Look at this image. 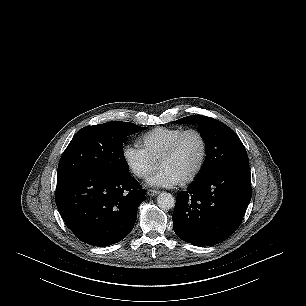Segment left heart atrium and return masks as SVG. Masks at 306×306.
<instances>
[{"mask_svg": "<svg viewBox=\"0 0 306 306\" xmlns=\"http://www.w3.org/2000/svg\"><path fill=\"white\" fill-rule=\"evenodd\" d=\"M180 182L181 179L166 168H161L157 173L152 175L147 180V184L151 187H164V188L176 186Z\"/></svg>", "mask_w": 306, "mask_h": 306, "instance_id": "39dd6f15", "label": "left heart atrium"}]
</instances>
